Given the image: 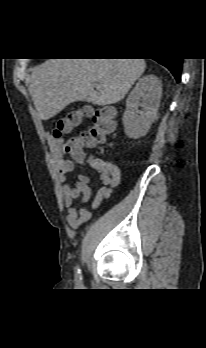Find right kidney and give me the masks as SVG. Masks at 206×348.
<instances>
[{
  "instance_id": "1",
  "label": "right kidney",
  "mask_w": 206,
  "mask_h": 348,
  "mask_svg": "<svg viewBox=\"0 0 206 348\" xmlns=\"http://www.w3.org/2000/svg\"><path fill=\"white\" fill-rule=\"evenodd\" d=\"M162 95L161 80L155 75L140 78L126 99L123 125L129 138L144 136L157 117ZM142 106L143 110L138 107Z\"/></svg>"
}]
</instances>
